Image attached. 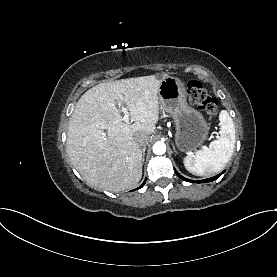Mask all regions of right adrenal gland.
Masks as SVG:
<instances>
[{
  "instance_id": "right-adrenal-gland-1",
  "label": "right adrenal gland",
  "mask_w": 277,
  "mask_h": 277,
  "mask_svg": "<svg viewBox=\"0 0 277 277\" xmlns=\"http://www.w3.org/2000/svg\"><path fill=\"white\" fill-rule=\"evenodd\" d=\"M145 151H146V147H144L143 150H142V153H143L142 161H143V162H144V160H145Z\"/></svg>"
}]
</instances>
